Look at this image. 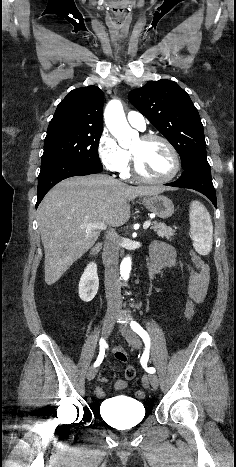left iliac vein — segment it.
<instances>
[{
	"instance_id": "obj_1",
	"label": "left iliac vein",
	"mask_w": 236,
	"mask_h": 467,
	"mask_svg": "<svg viewBox=\"0 0 236 467\" xmlns=\"http://www.w3.org/2000/svg\"><path fill=\"white\" fill-rule=\"evenodd\" d=\"M120 331L122 335L125 337L127 342L135 349H139L141 347V341L138 335L127 325H121L120 326ZM149 381L151 386L154 389H157L159 386V378L156 374H150L149 375Z\"/></svg>"
}]
</instances>
